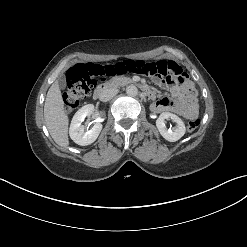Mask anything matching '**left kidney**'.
<instances>
[{
    "label": "left kidney",
    "mask_w": 247,
    "mask_h": 247,
    "mask_svg": "<svg viewBox=\"0 0 247 247\" xmlns=\"http://www.w3.org/2000/svg\"><path fill=\"white\" fill-rule=\"evenodd\" d=\"M169 118L177 124V127L174 130L167 129L165 126V119ZM156 126L163 138L170 142L178 141L186 132L185 124L182 119L169 112H163L160 114L156 120Z\"/></svg>",
    "instance_id": "5707ae66"
}]
</instances>
